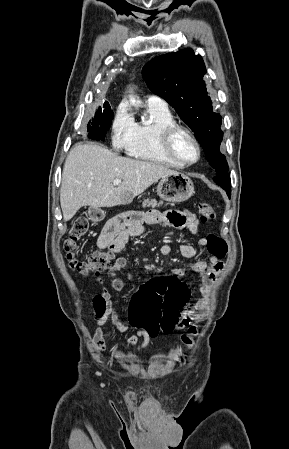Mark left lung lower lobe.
Returning <instances> with one entry per match:
<instances>
[{"mask_svg": "<svg viewBox=\"0 0 289 449\" xmlns=\"http://www.w3.org/2000/svg\"><path fill=\"white\" fill-rule=\"evenodd\" d=\"M224 190H226L228 197L230 198L231 196V187H224Z\"/></svg>", "mask_w": 289, "mask_h": 449, "instance_id": "left-lung-lower-lobe-1", "label": "left lung lower lobe"}]
</instances>
